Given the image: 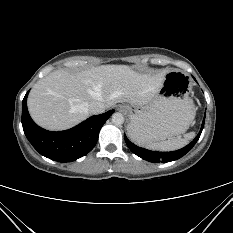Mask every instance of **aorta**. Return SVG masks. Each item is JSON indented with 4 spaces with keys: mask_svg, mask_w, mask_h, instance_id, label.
<instances>
[{
    "mask_svg": "<svg viewBox=\"0 0 233 233\" xmlns=\"http://www.w3.org/2000/svg\"><path fill=\"white\" fill-rule=\"evenodd\" d=\"M112 122L115 125H121L124 122V116L121 113L116 112L112 115Z\"/></svg>",
    "mask_w": 233,
    "mask_h": 233,
    "instance_id": "obj_1",
    "label": "aorta"
}]
</instances>
